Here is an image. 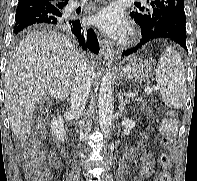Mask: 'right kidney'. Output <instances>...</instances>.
Returning <instances> with one entry per match:
<instances>
[{
  "label": "right kidney",
  "instance_id": "obj_1",
  "mask_svg": "<svg viewBox=\"0 0 197 181\" xmlns=\"http://www.w3.org/2000/svg\"><path fill=\"white\" fill-rule=\"evenodd\" d=\"M50 127L52 134L55 136V140L58 142H63L66 137V130L64 128V122L61 117L53 118Z\"/></svg>",
  "mask_w": 197,
  "mask_h": 181
}]
</instances>
